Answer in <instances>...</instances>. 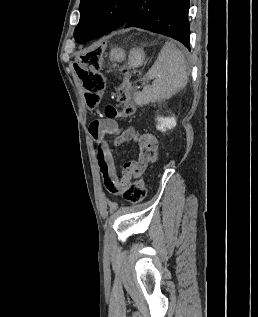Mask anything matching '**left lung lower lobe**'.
<instances>
[{
  "label": "left lung lower lobe",
  "instance_id": "obj_1",
  "mask_svg": "<svg viewBox=\"0 0 258 317\" xmlns=\"http://www.w3.org/2000/svg\"><path fill=\"white\" fill-rule=\"evenodd\" d=\"M190 0H134L122 26L138 27L180 41L190 50L188 11ZM115 29L99 27L79 42L99 38Z\"/></svg>",
  "mask_w": 258,
  "mask_h": 317
}]
</instances>
